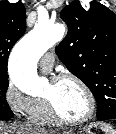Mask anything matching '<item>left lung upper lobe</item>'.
Returning a JSON list of instances; mask_svg holds the SVG:
<instances>
[{
  "mask_svg": "<svg viewBox=\"0 0 116 134\" xmlns=\"http://www.w3.org/2000/svg\"><path fill=\"white\" fill-rule=\"evenodd\" d=\"M68 33L56 54L93 93L97 117L116 114V14L99 2L74 0L61 11Z\"/></svg>",
  "mask_w": 116,
  "mask_h": 134,
  "instance_id": "1",
  "label": "left lung upper lobe"
}]
</instances>
